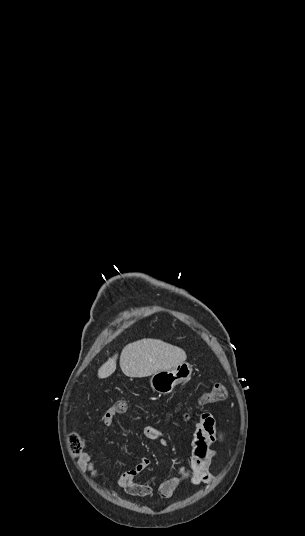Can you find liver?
I'll use <instances>...</instances> for the list:
<instances>
[{"mask_svg": "<svg viewBox=\"0 0 305 536\" xmlns=\"http://www.w3.org/2000/svg\"><path fill=\"white\" fill-rule=\"evenodd\" d=\"M118 354L109 358L98 370V378H109L116 370ZM184 350L161 340H138L127 344L120 356V368L128 378H146L161 370H171L185 362Z\"/></svg>", "mask_w": 305, "mask_h": 536, "instance_id": "6515ba94", "label": "liver"}]
</instances>
